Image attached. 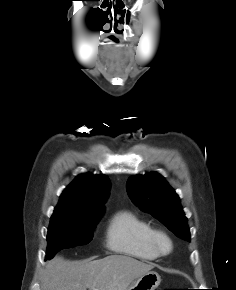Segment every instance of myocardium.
<instances>
[{
  "label": "myocardium",
  "instance_id": "myocardium-1",
  "mask_svg": "<svg viewBox=\"0 0 236 290\" xmlns=\"http://www.w3.org/2000/svg\"><path fill=\"white\" fill-rule=\"evenodd\" d=\"M152 245L159 255H167L173 249L171 237L164 231L154 230L151 237Z\"/></svg>",
  "mask_w": 236,
  "mask_h": 290
}]
</instances>
